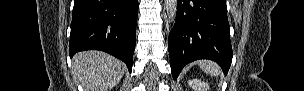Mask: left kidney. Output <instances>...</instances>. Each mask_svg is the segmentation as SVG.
Listing matches in <instances>:
<instances>
[{
	"label": "left kidney",
	"instance_id": "obj_1",
	"mask_svg": "<svg viewBox=\"0 0 304 91\" xmlns=\"http://www.w3.org/2000/svg\"><path fill=\"white\" fill-rule=\"evenodd\" d=\"M188 85L194 90V91H209L210 87L207 83L198 80V79H191L188 80Z\"/></svg>",
	"mask_w": 304,
	"mask_h": 91
}]
</instances>
